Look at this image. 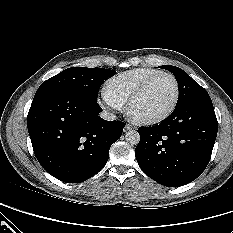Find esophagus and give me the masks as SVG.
I'll use <instances>...</instances> for the list:
<instances>
[{
	"label": "esophagus",
	"instance_id": "1",
	"mask_svg": "<svg viewBox=\"0 0 233 233\" xmlns=\"http://www.w3.org/2000/svg\"><path fill=\"white\" fill-rule=\"evenodd\" d=\"M133 128L132 125L130 124H126L125 128H124V132L128 131V130H131Z\"/></svg>",
	"mask_w": 233,
	"mask_h": 233
}]
</instances>
